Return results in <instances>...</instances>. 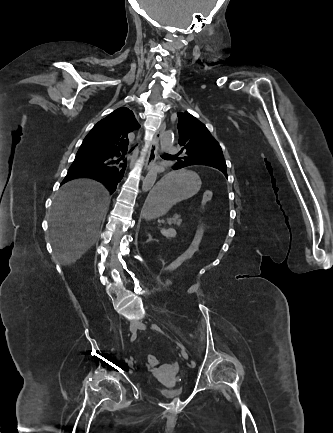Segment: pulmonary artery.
<instances>
[{
	"mask_svg": "<svg viewBox=\"0 0 333 433\" xmlns=\"http://www.w3.org/2000/svg\"><path fill=\"white\" fill-rule=\"evenodd\" d=\"M167 150H168V152L171 153V154H173V153L176 152V149H175L174 147H172V146L168 147Z\"/></svg>",
	"mask_w": 333,
	"mask_h": 433,
	"instance_id": "obj_1",
	"label": "pulmonary artery"
}]
</instances>
